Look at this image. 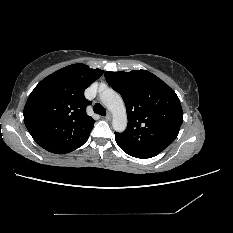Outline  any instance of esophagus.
I'll use <instances>...</instances> for the list:
<instances>
[{"instance_id": "obj_1", "label": "esophagus", "mask_w": 233, "mask_h": 233, "mask_svg": "<svg viewBox=\"0 0 233 233\" xmlns=\"http://www.w3.org/2000/svg\"><path fill=\"white\" fill-rule=\"evenodd\" d=\"M111 118H112V115L110 113L105 116L106 120H111Z\"/></svg>"}]
</instances>
